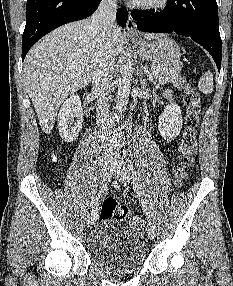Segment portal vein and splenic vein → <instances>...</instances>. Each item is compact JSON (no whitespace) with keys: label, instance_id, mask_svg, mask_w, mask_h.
Masks as SVG:
<instances>
[{"label":"portal vein and splenic vein","instance_id":"18ae733b","mask_svg":"<svg viewBox=\"0 0 233 286\" xmlns=\"http://www.w3.org/2000/svg\"><path fill=\"white\" fill-rule=\"evenodd\" d=\"M146 72L149 74V77H154L156 75V73H150L148 70Z\"/></svg>","mask_w":233,"mask_h":286}]
</instances>
